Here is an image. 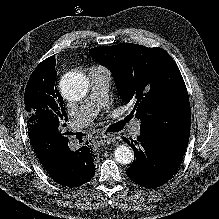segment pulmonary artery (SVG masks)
<instances>
[{
    "label": "pulmonary artery",
    "mask_w": 219,
    "mask_h": 219,
    "mask_svg": "<svg viewBox=\"0 0 219 219\" xmlns=\"http://www.w3.org/2000/svg\"><path fill=\"white\" fill-rule=\"evenodd\" d=\"M88 76L90 80V95L73 116V126L75 129L88 124L107 99L111 80L110 72L104 67L93 66L88 70ZM130 130L134 136H139L141 133V122L139 120L132 122Z\"/></svg>",
    "instance_id": "1"
}]
</instances>
